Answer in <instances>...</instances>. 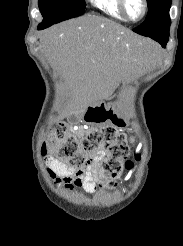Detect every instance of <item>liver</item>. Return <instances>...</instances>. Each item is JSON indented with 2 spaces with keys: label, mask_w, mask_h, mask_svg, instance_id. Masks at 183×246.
<instances>
[{
  "label": "liver",
  "mask_w": 183,
  "mask_h": 246,
  "mask_svg": "<svg viewBox=\"0 0 183 246\" xmlns=\"http://www.w3.org/2000/svg\"><path fill=\"white\" fill-rule=\"evenodd\" d=\"M43 51L64 79L71 109L108 98L141 72L154 44L109 19L86 15L45 31Z\"/></svg>",
  "instance_id": "6515ba94"
}]
</instances>
